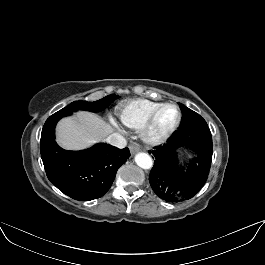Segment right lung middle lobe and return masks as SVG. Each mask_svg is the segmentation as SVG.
<instances>
[{
    "label": "right lung middle lobe",
    "instance_id": "obj_1",
    "mask_svg": "<svg viewBox=\"0 0 265 265\" xmlns=\"http://www.w3.org/2000/svg\"><path fill=\"white\" fill-rule=\"evenodd\" d=\"M117 98H119L118 95L111 94L95 102L74 101L70 103L68 106H66L65 108L56 112L55 114L67 116L77 110H88L91 112H99L105 109L112 101H114Z\"/></svg>",
    "mask_w": 265,
    "mask_h": 265
}]
</instances>
